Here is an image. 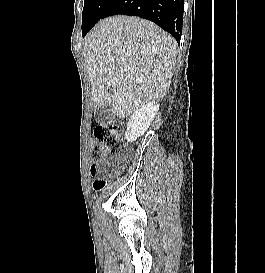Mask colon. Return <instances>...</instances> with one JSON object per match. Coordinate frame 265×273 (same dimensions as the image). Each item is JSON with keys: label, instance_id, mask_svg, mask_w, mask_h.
<instances>
[{"label": "colon", "instance_id": "obj_1", "mask_svg": "<svg viewBox=\"0 0 265 273\" xmlns=\"http://www.w3.org/2000/svg\"><path fill=\"white\" fill-rule=\"evenodd\" d=\"M121 126L115 122H108L99 125L94 130V137L96 143L93 148L92 155L96 159H101L104 156H120L122 153V146L120 142ZM97 169L96 165H92V171ZM105 185V181H97L94 183L96 191L101 190Z\"/></svg>", "mask_w": 265, "mask_h": 273}]
</instances>
